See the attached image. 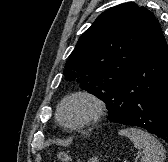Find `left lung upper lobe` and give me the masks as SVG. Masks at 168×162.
Returning <instances> with one entry per match:
<instances>
[{"label":"left lung upper lobe","mask_w":168,"mask_h":162,"mask_svg":"<svg viewBox=\"0 0 168 162\" xmlns=\"http://www.w3.org/2000/svg\"><path fill=\"white\" fill-rule=\"evenodd\" d=\"M161 35L159 22L146 8L133 2L112 7L79 38L65 64V79L108 104Z\"/></svg>","instance_id":"obj_1"}]
</instances>
